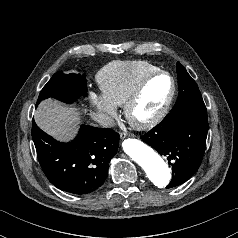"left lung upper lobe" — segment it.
I'll use <instances>...</instances> for the list:
<instances>
[{
	"mask_svg": "<svg viewBox=\"0 0 238 238\" xmlns=\"http://www.w3.org/2000/svg\"><path fill=\"white\" fill-rule=\"evenodd\" d=\"M177 75L179 94L170 113L206 111V107L197 84L179 62L177 63Z\"/></svg>",
	"mask_w": 238,
	"mask_h": 238,
	"instance_id": "obj_1",
	"label": "left lung upper lobe"
}]
</instances>
